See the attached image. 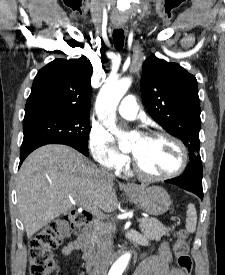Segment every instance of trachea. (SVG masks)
Returning <instances> with one entry per match:
<instances>
[{
    "label": "trachea",
    "mask_w": 225,
    "mask_h": 275,
    "mask_svg": "<svg viewBox=\"0 0 225 275\" xmlns=\"http://www.w3.org/2000/svg\"><path fill=\"white\" fill-rule=\"evenodd\" d=\"M113 42L117 50H121L124 45V31L122 29H115L113 31Z\"/></svg>",
    "instance_id": "obj_1"
}]
</instances>
